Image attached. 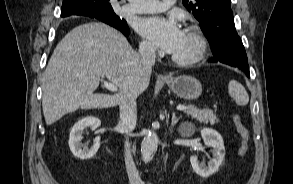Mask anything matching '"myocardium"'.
Instances as JSON below:
<instances>
[{
  "label": "myocardium",
  "instance_id": "myocardium-1",
  "mask_svg": "<svg viewBox=\"0 0 293 184\" xmlns=\"http://www.w3.org/2000/svg\"><path fill=\"white\" fill-rule=\"evenodd\" d=\"M184 31L194 35L197 41V50L188 58H179L172 55L171 60L178 65L189 66L200 62L205 57L208 51L209 42L203 30L197 25H189Z\"/></svg>",
  "mask_w": 293,
  "mask_h": 184
}]
</instances>
